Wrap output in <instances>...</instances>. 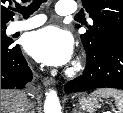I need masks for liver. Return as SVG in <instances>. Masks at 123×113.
<instances>
[{"mask_svg": "<svg viewBox=\"0 0 123 113\" xmlns=\"http://www.w3.org/2000/svg\"><path fill=\"white\" fill-rule=\"evenodd\" d=\"M26 103L24 91L1 90V113H23Z\"/></svg>", "mask_w": 123, "mask_h": 113, "instance_id": "liver-1", "label": "liver"}]
</instances>
